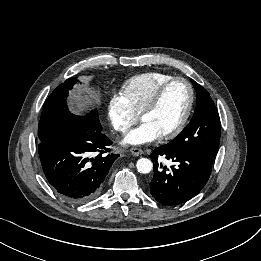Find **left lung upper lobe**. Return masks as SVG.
I'll return each mask as SVG.
<instances>
[{
    "label": "left lung upper lobe",
    "mask_w": 261,
    "mask_h": 261,
    "mask_svg": "<svg viewBox=\"0 0 261 261\" xmlns=\"http://www.w3.org/2000/svg\"><path fill=\"white\" fill-rule=\"evenodd\" d=\"M191 82L197 92V106L193 118L168 144L180 146L213 162L220 143L219 114L209 93L194 80L191 79Z\"/></svg>",
    "instance_id": "5c2ea615"
}]
</instances>
